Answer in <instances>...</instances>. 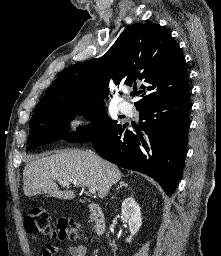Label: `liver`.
Returning <instances> with one entry per match:
<instances>
[{
	"label": "liver",
	"instance_id": "1",
	"mask_svg": "<svg viewBox=\"0 0 221 256\" xmlns=\"http://www.w3.org/2000/svg\"><path fill=\"white\" fill-rule=\"evenodd\" d=\"M121 177L116 165L95 153L68 150L28 163L23 170V190L27 197L45 194L63 200L74 199L73 190H59L56 181H63L74 186L94 187L98 196L104 198Z\"/></svg>",
	"mask_w": 221,
	"mask_h": 256
}]
</instances>
